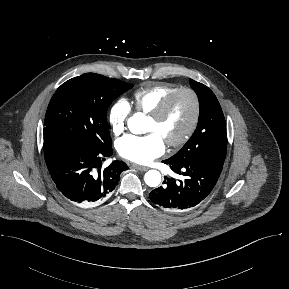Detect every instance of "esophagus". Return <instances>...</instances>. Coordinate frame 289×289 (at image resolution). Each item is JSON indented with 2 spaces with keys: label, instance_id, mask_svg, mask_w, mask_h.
Here are the masks:
<instances>
[{
  "label": "esophagus",
  "instance_id": "obj_1",
  "mask_svg": "<svg viewBox=\"0 0 289 289\" xmlns=\"http://www.w3.org/2000/svg\"><path fill=\"white\" fill-rule=\"evenodd\" d=\"M132 167L140 170V171H147L149 168L146 166H141V165H137V164H133Z\"/></svg>",
  "mask_w": 289,
  "mask_h": 289
}]
</instances>
